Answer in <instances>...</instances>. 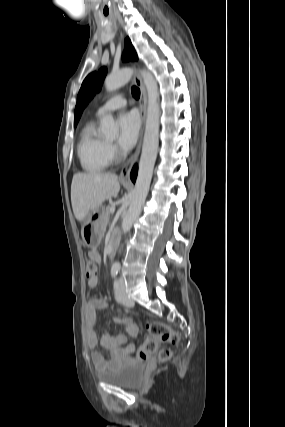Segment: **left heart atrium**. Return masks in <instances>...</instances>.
I'll use <instances>...</instances> for the list:
<instances>
[{"instance_id": "39dd6f15", "label": "left heart atrium", "mask_w": 285, "mask_h": 427, "mask_svg": "<svg viewBox=\"0 0 285 427\" xmlns=\"http://www.w3.org/2000/svg\"><path fill=\"white\" fill-rule=\"evenodd\" d=\"M118 143L124 149L131 148L138 137L140 121L136 113L126 112L120 115Z\"/></svg>"}]
</instances>
